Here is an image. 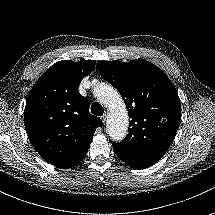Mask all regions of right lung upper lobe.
Instances as JSON below:
<instances>
[{
	"label": "right lung upper lobe",
	"instance_id": "1",
	"mask_svg": "<svg viewBox=\"0 0 215 215\" xmlns=\"http://www.w3.org/2000/svg\"><path fill=\"white\" fill-rule=\"evenodd\" d=\"M96 62L62 60L35 83L25 107L28 137L41 157L59 168L74 167L85 157L100 118L89 113V102L78 87Z\"/></svg>",
	"mask_w": 215,
	"mask_h": 215
}]
</instances>
